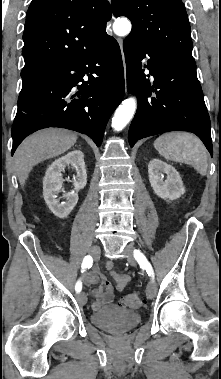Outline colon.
I'll return each instance as SVG.
<instances>
[{
    "mask_svg": "<svg viewBox=\"0 0 221 379\" xmlns=\"http://www.w3.org/2000/svg\"><path fill=\"white\" fill-rule=\"evenodd\" d=\"M142 304H143V300L136 294L126 295L121 300V305L130 307V308H138Z\"/></svg>",
    "mask_w": 221,
    "mask_h": 379,
    "instance_id": "obj_1",
    "label": "colon"
}]
</instances>
